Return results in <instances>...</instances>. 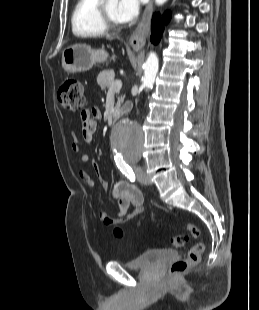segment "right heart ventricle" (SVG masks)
Wrapping results in <instances>:
<instances>
[{
	"label": "right heart ventricle",
	"instance_id": "1",
	"mask_svg": "<svg viewBox=\"0 0 259 310\" xmlns=\"http://www.w3.org/2000/svg\"><path fill=\"white\" fill-rule=\"evenodd\" d=\"M100 0H77L72 14V30L79 37H97L106 30L97 18V5Z\"/></svg>",
	"mask_w": 259,
	"mask_h": 310
}]
</instances>
